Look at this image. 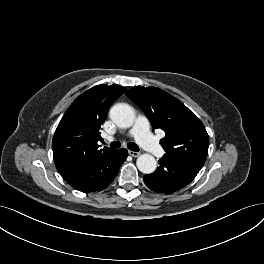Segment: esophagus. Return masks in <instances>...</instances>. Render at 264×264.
I'll list each match as a JSON object with an SVG mask.
<instances>
[{
  "label": "esophagus",
  "instance_id": "obj_1",
  "mask_svg": "<svg viewBox=\"0 0 264 264\" xmlns=\"http://www.w3.org/2000/svg\"><path fill=\"white\" fill-rule=\"evenodd\" d=\"M128 153H129V155H131L132 157H138V156L140 155L139 152L131 151V150H129Z\"/></svg>",
  "mask_w": 264,
  "mask_h": 264
}]
</instances>
